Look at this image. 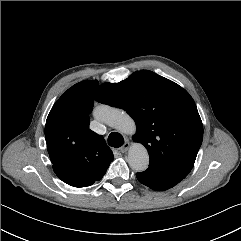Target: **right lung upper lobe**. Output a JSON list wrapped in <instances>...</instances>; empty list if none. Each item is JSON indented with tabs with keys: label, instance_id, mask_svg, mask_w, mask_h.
<instances>
[{
	"label": "right lung upper lobe",
	"instance_id": "1",
	"mask_svg": "<svg viewBox=\"0 0 241 241\" xmlns=\"http://www.w3.org/2000/svg\"><path fill=\"white\" fill-rule=\"evenodd\" d=\"M98 82L84 80L69 88L52 107L45 126L53 168L94 178L105 174L113 153L101 135L89 129Z\"/></svg>",
	"mask_w": 241,
	"mask_h": 241
}]
</instances>
